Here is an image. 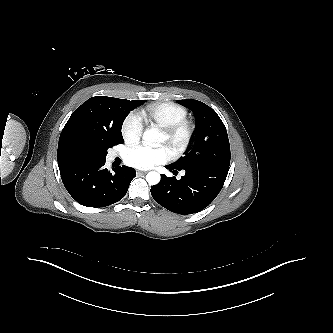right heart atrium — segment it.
Here are the masks:
<instances>
[{"label":"right heart atrium","mask_w":333,"mask_h":333,"mask_svg":"<svg viewBox=\"0 0 333 333\" xmlns=\"http://www.w3.org/2000/svg\"><path fill=\"white\" fill-rule=\"evenodd\" d=\"M143 132V122L138 114H128L121 125V135L124 141L129 144H135L139 141Z\"/></svg>","instance_id":"obj_1"}]
</instances>
